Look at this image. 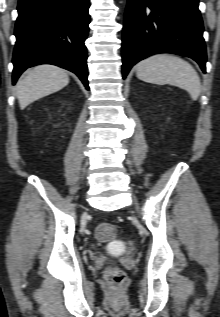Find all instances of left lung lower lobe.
<instances>
[{
  "instance_id": "1",
  "label": "left lung lower lobe",
  "mask_w": 220,
  "mask_h": 317,
  "mask_svg": "<svg viewBox=\"0 0 220 317\" xmlns=\"http://www.w3.org/2000/svg\"><path fill=\"white\" fill-rule=\"evenodd\" d=\"M199 0H128L122 39L123 78L131 67L158 52H175L205 72L206 48Z\"/></svg>"
}]
</instances>
